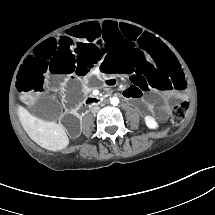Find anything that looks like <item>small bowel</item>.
I'll return each mask as SVG.
<instances>
[{
  "label": "small bowel",
  "instance_id": "obj_1",
  "mask_svg": "<svg viewBox=\"0 0 215 215\" xmlns=\"http://www.w3.org/2000/svg\"><path fill=\"white\" fill-rule=\"evenodd\" d=\"M123 95H124L125 97L130 98V99H133V98L135 97V93H134L133 91H131V90H129V91H124Z\"/></svg>",
  "mask_w": 215,
  "mask_h": 215
}]
</instances>
